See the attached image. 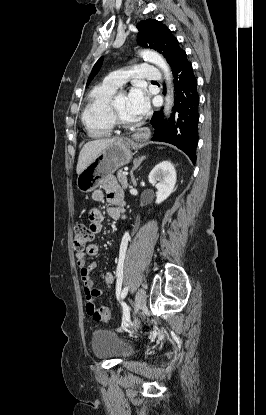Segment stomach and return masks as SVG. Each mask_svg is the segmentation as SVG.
Instances as JSON below:
<instances>
[{
  "mask_svg": "<svg viewBox=\"0 0 266 415\" xmlns=\"http://www.w3.org/2000/svg\"><path fill=\"white\" fill-rule=\"evenodd\" d=\"M132 159L130 143L118 139L108 145L78 175L77 187L83 193H89L107 180L117 169L128 164Z\"/></svg>",
  "mask_w": 266,
  "mask_h": 415,
  "instance_id": "0dacf381",
  "label": "stomach"
}]
</instances>
